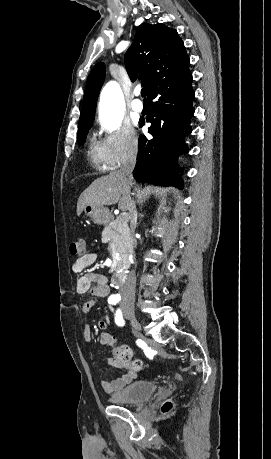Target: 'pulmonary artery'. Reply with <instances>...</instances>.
I'll list each match as a JSON object with an SVG mask.
<instances>
[{
    "mask_svg": "<svg viewBox=\"0 0 271 459\" xmlns=\"http://www.w3.org/2000/svg\"><path fill=\"white\" fill-rule=\"evenodd\" d=\"M141 95V90L137 89L135 91L136 98L131 103V110L135 114H140L144 108L142 100L139 98Z\"/></svg>",
    "mask_w": 271,
    "mask_h": 459,
    "instance_id": "e3ab8cb5",
    "label": "pulmonary artery"
}]
</instances>
